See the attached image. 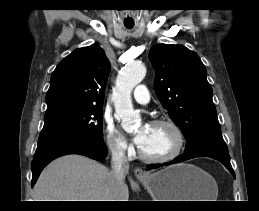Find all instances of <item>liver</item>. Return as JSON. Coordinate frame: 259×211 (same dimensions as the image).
I'll return each mask as SVG.
<instances>
[{"label": "liver", "mask_w": 259, "mask_h": 211, "mask_svg": "<svg viewBox=\"0 0 259 211\" xmlns=\"http://www.w3.org/2000/svg\"><path fill=\"white\" fill-rule=\"evenodd\" d=\"M34 201H128L126 183L114 187L108 168L71 154L51 162L34 187Z\"/></svg>", "instance_id": "1"}]
</instances>
